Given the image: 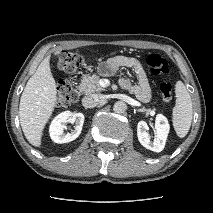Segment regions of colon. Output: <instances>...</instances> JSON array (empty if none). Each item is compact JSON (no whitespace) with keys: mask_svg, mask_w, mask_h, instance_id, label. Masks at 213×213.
<instances>
[{"mask_svg":"<svg viewBox=\"0 0 213 213\" xmlns=\"http://www.w3.org/2000/svg\"><path fill=\"white\" fill-rule=\"evenodd\" d=\"M149 71L153 75L163 76L168 75V63L167 60L159 54H151L146 60ZM84 64V60L81 55L72 52H62L55 66L58 70L75 74L78 72ZM161 96L164 100L168 101L172 98V85L169 81L164 80L159 85ZM80 97L79 89L70 81H61L57 86V104L60 107H67L76 102Z\"/></svg>","mask_w":213,"mask_h":213,"instance_id":"1","label":"colon"}]
</instances>
